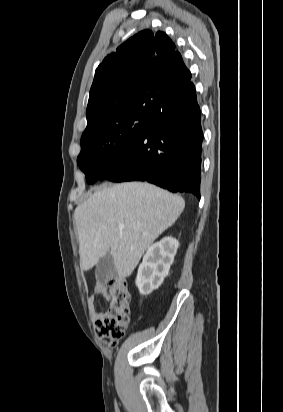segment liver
I'll list each match as a JSON object with an SVG mask.
<instances>
[{
    "instance_id": "obj_1",
    "label": "liver",
    "mask_w": 283,
    "mask_h": 412,
    "mask_svg": "<svg viewBox=\"0 0 283 412\" xmlns=\"http://www.w3.org/2000/svg\"><path fill=\"white\" fill-rule=\"evenodd\" d=\"M184 207L182 197L149 183L97 190L74 211L81 269L90 270L110 252L118 276H130L145 250L175 223Z\"/></svg>"
}]
</instances>
